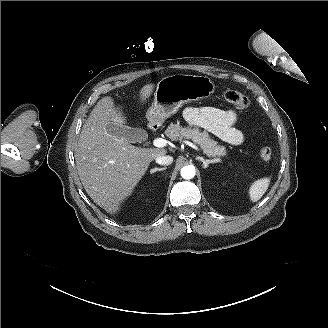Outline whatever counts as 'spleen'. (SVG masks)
Masks as SVG:
<instances>
[{
	"label": "spleen",
	"instance_id": "3e777b00",
	"mask_svg": "<svg viewBox=\"0 0 328 328\" xmlns=\"http://www.w3.org/2000/svg\"><path fill=\"white\" fill-rule=\"evenodd\" d=\"M270 184L269 178H261L256 180L249 188L250 199L257 202L265 194Z\"/></svg>",
	"mask_w": 328,
	"mask_h": 328
}]
</instances>
